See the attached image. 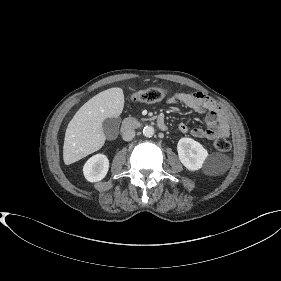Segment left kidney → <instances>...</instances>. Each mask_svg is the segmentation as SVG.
Wrapping results in <instances>:
<instances>
[{
  "instance_id": "5707ae66",
  "label": "left kidney",
  "mask_w": 281,
  "mask_h": 281,
  "mask_svg": "<svg viewBox=\"0 0 281 281\" xmlns=\"http://www.w3.org/2000/svg\"><path fill=\"white\" fill-rule=\"evenodd\" d=\"M177 151L179 160L190 171L200 170L208 156L207 150L192 138H181Z\"/></svg>"
}]
</instances>
